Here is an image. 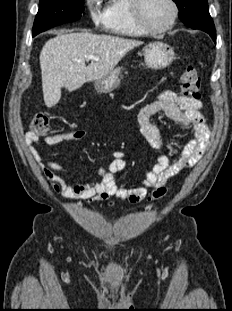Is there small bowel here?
Masks as SVG:
<instances>
[{
  "label": "small bowel",
  "mask_w": 232,
  "mask_h": 311,
  "mask_svg": "<svg viewBox=\"0 0 232 311\" xmlns=\"http://www.w3.org/2000/svg\"><path fill=\"white\" fill-rule=\"evenodd\" d=\"M201 108L200 100H192L174 91L165 90L154 101L140 109L137 115L140 132L154 149L164 147L158 127L151 122V117L159 112H163L173 122L190 128L192 138L177 158L172 159L166 155L158 156L154 166L139 182V185L133 188L118 185L115 181L114 175L123 171L127 166L125 156L120 151H114L113 160L98 171V180L70 185L67 181L73 179L74 175L70 174L62 164L51 158H48L46 162L42 161L41 154L36 149L39 137L35 133H26L25 144L31 149L33 159L43 175L50 181L53 190L62 196L74 201L87 200L88 203L104 201L115 196L135 204L145 199L148 189L165 185L169 178L193 167L201 160L210 138V127L201 113ZM86 135L87 132L81 129L63 132L45 138L44 144L56 146L65 141H80Z\"/></svg>",
  "instance_id": "obj_1"
}]
</instances>
